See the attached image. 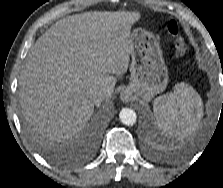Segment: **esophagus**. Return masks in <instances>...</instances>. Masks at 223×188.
I'll return each instance as SVG.
<instances>
[{"instance_id":"obj_1","label":"esophagus","mask_w":223,"mask_h":188,"mask_svg":"<svg viewBox=\"0 0 223 188\" xmlns=\"http://www.w3.org/2000/svg\"><path fill=\"white\" fill-rule=\"evenodd\" d=\"M120 97L123 102H129L131 100V94L127 90L122 91Z\"/></svg>"}]
</instances>
